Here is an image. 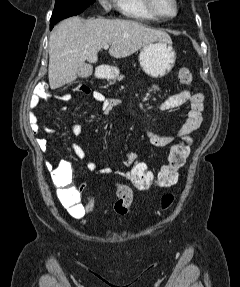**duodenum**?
<instances>
[{
	"instance_id": "410a0bca",
	"label": "duodenum",
	"mask_w": 240,
	"mask_h": 287,
	"mask_svg": "<svg viewBox=\"0 0 240 287\" xmlns=\"http://www.w3.org/2000/svg\"><path fill=\"white\" fill-rule=\"evenodd\" d=\"M111 74L110 67L106 64H100L97 66L96 77L98 79L108 78Z\"/></svg>"
}]
</instances>
